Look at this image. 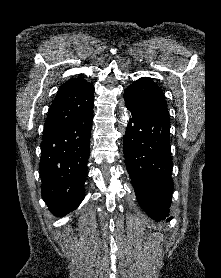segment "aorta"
<instances>
[{
  "instance_id": "obj_1",
  "label": "aorta",
  "mask_w": 221,
  "mask_h": 278,
  "mask_svg": "<svg viewBox=\"0 0 221 278\" xmlns=\"http://www.w3.org/2000/svg\"><path fill=\"white\" fill-rule=\"evenodd\" d=\"M122 120L124 122V125H127V122L129 121V114L126 110H124V114L122 116Z\"/></svg>"
}]
</instances>
